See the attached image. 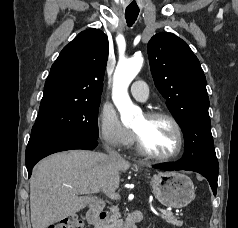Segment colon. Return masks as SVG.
Returning <instances> with one entry per match:
<instances>
[{
	"instance_id": "colon-1",
	"label": "colon",
	"mask_w": 238,
	"mask_h": 228,
	"mask_svg": "<svg viewBox=\"0 0 238 228\" xmlns=\"http://www.w3.org/2000/svg\"><path fill=\"white\" fill-rule=\"evenodd\" d=\"M83 218L77 215L67 217L60 220L47 228H82ZM186 228H197V227H186Z\"/></svg>"
}]
</instances>
